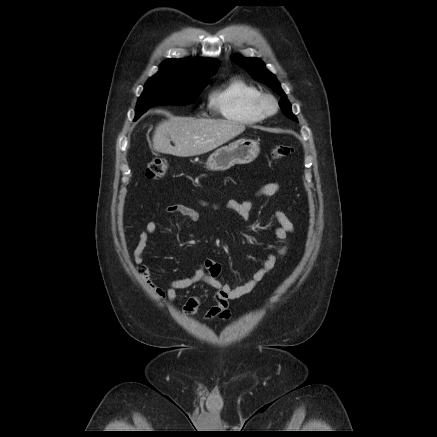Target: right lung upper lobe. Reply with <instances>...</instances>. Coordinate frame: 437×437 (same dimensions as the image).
I'll return each instance as SVG.
<instances>
[{
  "instance_id": "right-lung-upper-lobe-1",
  "label": "right lung upper lobe",
  "mask_w": 437,
  "mask_h": 437,
  "mask_svg": "<svg viewBox=\"0 0 437 437\" xmlns=\"http://www.w3.org/2000/svg\"><path fill=\"white\" fill-rule=\"evenodd\" d=\"M220 62L215 59L189 58L164 61L156 75L169 76L187 82L209 80L215 74Z\"/></svg>"
}]
</instances>
